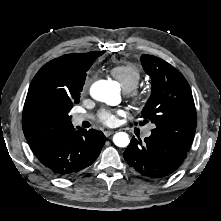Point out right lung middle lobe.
Masks as SVG:
<instances>
[{"mask_svg":"<svg viewBox=\"0 0 221 221\" xmlns=\"http://www.w3.org/2000/svg\"><path fill=\"white\" fill-rule=\"evenodd\" d=\"M72 107H73V105H69V106L67 107V113H69V111L71 110Z\"/></svg>","mask_w":221,"mask_h":221,"instance_id":"right-lung-middle-lobe-1","label":"right lung middle lobe"}]
</instances>
